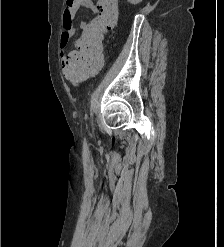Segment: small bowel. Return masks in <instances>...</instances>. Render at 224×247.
Here are the masks:
<instances>
[{
	"instance_id": "small-bowel-1",
	"label": "small bowel",
	"mask_w": 224,
	"mask_h": 247,
	"mask_svg": "<svg viewBox=\"0 0 224 247\" xmlns=\"http://www.w3.org/2000/svg\"><path fill=\"white\" fill-rule=\"evenodd\" d=\"M80 7H84L90 10L92 13H97L98 11L97 6L93 0H74V4L70 10L64 9L62 15L63 31L59 39V44L62 49L67 46L70 38L75 34L74 18L77 10ZM87 25V22H81L80 27L85 29ZM68 58L69 56L66 57V59Z\"/></svg>"
}]
</instances>
